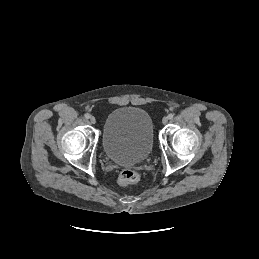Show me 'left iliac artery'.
Segmentation results:
<instances>
[{
    "instance_id": "1",
    "label": "left iliac artery",
    "mask_w": 259,
    "mask_h": 259,
    "mask_svg": "<svg viewBox=\"0 0 259 259\" xmlns=\"http://www.w3.org/2000/svg\"><path fill=\"white\" fill-rule=\"evenodd\" d=\"M173 117H174V114H172V113H170V114L168 115V119H173Z\"/></svg>"
}]
</instances>
